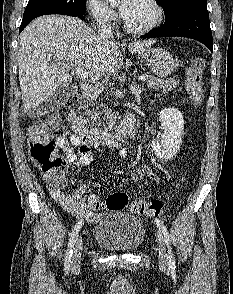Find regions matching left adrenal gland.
I'll return each mask as SVG.
<instances>
[{
	"label": "left adrenal gland",
	"instance_id": "obj_1",
	"mask_svg": "<svg viewBox=\"0 0 233 294\" xmlns=\"http://www.w3.org/2000/svg\"><path fill=\"white\" fill-rule=\"evenodd\" d=\"M132 94H135L136 100L140 102V95L144 91L143 87H136L135 82L130 87Z\"/></svg>",
	"mask_w": 233,
	"mask_h": 294
}]
</instances>
